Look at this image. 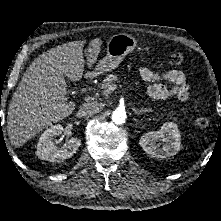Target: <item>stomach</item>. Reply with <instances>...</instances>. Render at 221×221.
Returning a JSON list of instances; mask_svg holds the SVG:
<instances>
[{
    "instance_id": "obj_1",
    "label": "stomach",
    "mask_w": 221,
    "mask_h": 221,
    "mask_svg": "<svg viewBox=\"0 0 221 221\" xmlns=\"http://www.w3.org/2000/svg\"><path fill=\"white\" fill-rule=\"evenodd\" d=\"M136 46L137 40L131 35L125 33L113 35L107 43L106 56L98 62L92 74L97 76L114 70Z\"/></svg>"
}]
</instances>
